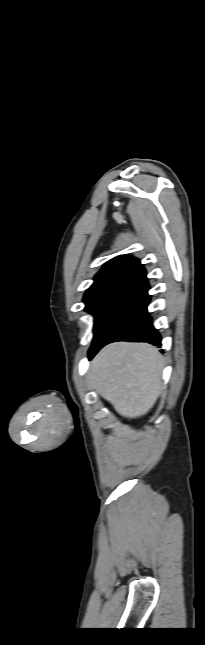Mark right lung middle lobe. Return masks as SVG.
Listing matches in <instances>:
<instances>
[{"label": "right lung middle lobe", "instance_id": "1", "mask_svg": "<svg viewBox=\"0 0 205 645\" xmlns=\"http://www.w3.org/2000/svg\"><path fill=\"white\" fill-rule=\"evenodd\" d=\"M147 291L121 290L86 304L85 310L94 315V340L89 350L101 348L117 330L140 313L149 303Z\"/></svg>", "mask_w": 205, "mask_h": 645}]
</instances>
